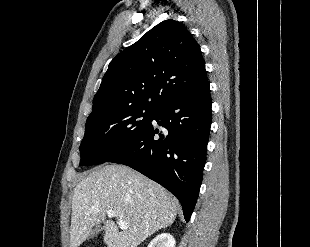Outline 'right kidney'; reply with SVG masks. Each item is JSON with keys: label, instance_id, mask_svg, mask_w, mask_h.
<instances>
[{"label": "right kidney", "instance_id": "obj_1", "mask_svg": "<svg viewBox=\"0 0 310 247\" xmlns=\"http://www.w3.org/2000/svg\"><path fill=\"white\" fill-rule=\"evenodd\" d=\"M176 241L170 233H162L156 236L148 247H175Z\"/></svg>", "mask_w": 310, "mask_h": 247}]
</instances>
